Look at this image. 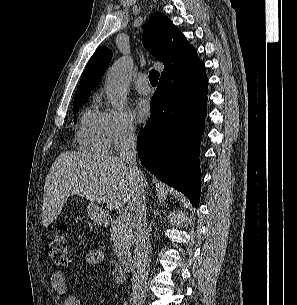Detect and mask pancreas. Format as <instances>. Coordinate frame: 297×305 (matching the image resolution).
<instances>
[{
  "mask_svg": "<svg viewBox=\"0 0 297 305\" xmlns=\"http://www.w3.org/2000/svg\"><path fill=\"white\" fill-rule=\"evenodd\" d=\"M111 239L114 242V252L117 256L128 252L134 242L131 219L114 218L110 227Z\"/></svg>",
  "mask_w": 297,
  "mask_h": 305,
  "instance_id": "1",
  "label": "pancreas"
}]
</instances>
